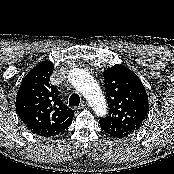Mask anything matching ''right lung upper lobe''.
<instances>
[{
    "label": "right lung upper lobe",
    "mask_w": 174,
    "mask_h": 174,
    "mask_svg": "<svg viewBox=\"0 0 174 174\" xmlns=\"http://www.w3.org/2000/svg\"><path fill=\"white\" fill-rule=\"evenodd\" d=\"M54 70L50 61H43L22 80L16 96V109L23 123L35 134L51 137L68 128L74 116L65 105L57 88L50 83Z\"/></svg>",
    "instance_id": "obj_1"
}]
</instances>
